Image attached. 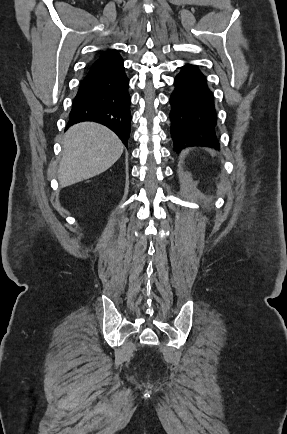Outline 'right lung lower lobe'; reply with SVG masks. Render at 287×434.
<instances>
[{"label": "right lung lower lobe", "mask_w": 287, "mask_h": 434, "mask_svg": "<svg viewBox=\"0 0 287 434\" xmlns=\"http://www.w3.org/2000/svg\"><path fill=\"white\" fill-rule=\"evenodd\" d=\"M129 79L117 51L100 56L90 65L73 100L67 128L82 121L101 123L127 146L130 136Z\"/></svg>", "instance_id": "1"}]
</instances>
